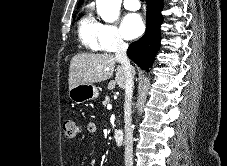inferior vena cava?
<instances>
[{"instance_id":"602c4592","label":"inferior vena cava","mask_w":227,"mask_h":166,"mask_svg":"<svg viewBox=\"0 0 227 166\" xmlns=\"http://www.w3.org/2000/svg\"><path fill=\"white\" fill-rule=\"evenodd\" d=\"M128 44L122 39L117 42V47L115 51L116 60L121 63L124 70L125 82V166H133V129L131 126V114H132V97H133V87H134V68L130 64V60L127 57Z\"/></svg>"}]
</instances>
